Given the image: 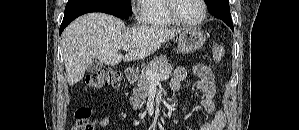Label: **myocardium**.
Instances as JSON below:
<instances>
[{
	"instance_id": "myocardium-1",
	"label": "myocardium",
	"mask_w": 299,
	"mask_h": 130,
	"mask_svg": "<svg viewBox=\"0 0 299 130\" xmlns=\"http://www.w3.org/2000/svg\"><path fill=\"white\" fill-rule=\"evenodd\" d=\"M174 1H176V0H167L166 1L167 15L169 16V18L171 19V21L173 23L183 26V27H194V26L199 25L205 19L206 15H207V6H206L205 0H198L201 5V14L197 19L192 20V21H185V20L178 18V16L176 15V13L174 11Z\"/></svg>"
}]
</instances>
